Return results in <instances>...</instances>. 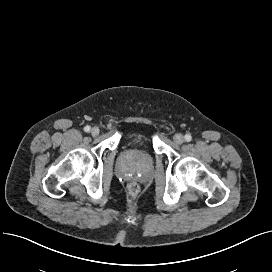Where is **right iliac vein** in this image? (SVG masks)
Instances as JSON below:
<instances>
[{"label": "right iliac vein", "mask_w": 272, "mask_h": 272, "mask_svg": "<svg viewBox=\"0 0 272 272\" xmlns=\"http://www.w3.org/2000/svg\"><path fill=\"white\" fill-rule=\"evenodd\" d=\"M99 133H100V130H99V128L98 127H93L92 129H91V134H92V136H98L99 135Z\"/></svg>", "instance_id": "1"}]
</instances>
